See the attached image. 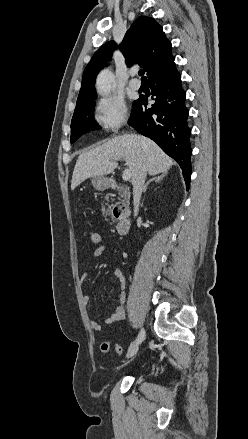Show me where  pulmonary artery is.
I'll use <instances>...</instances> for the list:
<instances>
[{
  "label": "pulmonary artery",
  "mask_w": 248,
  "mask_h": 439,
  "mask_svg": "<svg viewBox=\"0 0 248 439\" xmlns=\"http://www.w3.org/2000/svg\"><path fill=\"white\" fill-rule=\"evenodd\" d=\"M135 76H136V72L135 71H131L130 72V79L128 81V85L133 90H137L141 86L140 81Z\"/></svg>",
  "instance_id": "pulmonary-artery-1"
}]
</instances>
